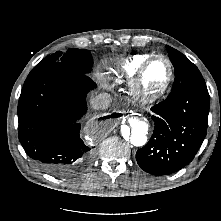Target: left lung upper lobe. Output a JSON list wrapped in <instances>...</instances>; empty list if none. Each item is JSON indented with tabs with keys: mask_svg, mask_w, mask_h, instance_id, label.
<instances>
[{
	"mask_svg": "<svg viewBox=\"0 0 221 221\" xmlns=\"http://www.w3.org/2000/svg\"><path fill=\"white\" fill-rule=\"evenodd\" d=\"M166 48L175 70V80L169 96L176 97L186 90L206 87L200 71L186 56L170 46Z\"/></svg>",
	"mask_w": 221,
	"mask_h": 221,
	"instance_id": "left-lung-upper-lobe-1",
	"label": "left lung upper lobe"
}]
</instances>
